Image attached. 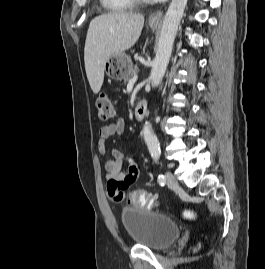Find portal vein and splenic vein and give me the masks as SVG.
I'll return each instance as SVG.
<instances>
[{"label":"portal vein and splenic vein","mask_w":265,"mask_h":269,"mask_svg":"<svg viewBox=\"0 0 265 269\" xmlns=\"http://www.w3.org/2000/svg\"><path fill=\"white\" fill-rule=\"evenodd\" d=\"M137 81V75L130 79L129 84H134Z\"/></svg>","instance_id":"1"}]
</instances>
